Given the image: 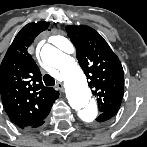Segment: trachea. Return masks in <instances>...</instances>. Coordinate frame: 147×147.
Returning <instances> with one entry per match:
<instances>
[{"mask_svg":"<svg viewBox=\"0 0 147 147\" xmlns=\"http://www.w3.org/2000/svg\"><path fill=\"white\" fill-rule=\"evenodd\" d=\"M43 81H44L45 85H47V86H54L55 85L54 78L49 74L44 75Z\"/></svg>","mask_w":147,"mask_h":147,"instance_id":"3493384b","label":"trachea"}]
</instances>
